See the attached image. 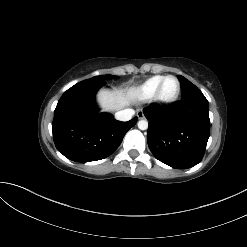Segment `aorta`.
Wrapping results in <instances>:
<instances>
[{
	"label": "aorta",
	"instance_id": "aorta-1",
	"mask_svg": "<svg viewBox=\"0 0 247 247\" xmlns=\"http://www.w3.org/2000/svg\"><path fill=\"white\" fill-rule=\"evenodd\" d=\"M138 128L140 130H146L148 128V122L146 120H140L138 122Z\"/></svg>",
	"mask_w": 247,
	"mask_h": 247
}]
</instances>
